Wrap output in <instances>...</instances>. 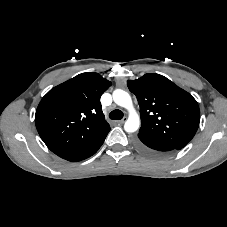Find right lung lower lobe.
I'll list each match as a JSON object with an SVG mask.
<instances>
[{
  "label": "right lung lower lobe",
  "mask_w": 227,
  "mask_h": 227,
  "mask_svg": "<svg viewBox=\"0 0 227 227\" xmlns=\"http://www.w3.org/2000/svg\"><path fill=\"white\" fill-rule=\"evenodd\" d=\"M104 140L101 143H99L93 150H91V151H89L87 153H84V154L73 156V157L68 158L66 160L76 162V161H81V160H84V159L92 156L101 147V145L103 144Z\"/></svg>",
  "instance_id": "1"
}]
</instances>
